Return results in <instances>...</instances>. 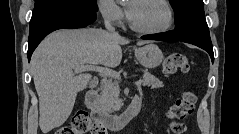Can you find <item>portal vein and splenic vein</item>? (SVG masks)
I'll list each match as a JSON object with an SVG mask.
<instances>
[{"instance_id":"portal-vein-and-splenic-vein-1","label":"portal vein and splenic vein","mask_w":239,"mask_h":134,"mask_svg":"<svg viewBox=\"0 0 239 134\" xmlns=\"http://www.w3.org/2000/svg\"><path fill=\"white\" fill-rule=\"evenodd\" d=\"M74 69H75V72L97 71V72H100L103 76L112 77L118 80L121 79L120 74L117 73L116 71L109 68L94 66L91 64H79V65H76ZM142 83H143L142 79H139L138 81L135 82L136 85H141Z\"/></svg>"}]
</instances>
